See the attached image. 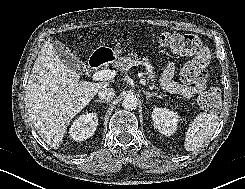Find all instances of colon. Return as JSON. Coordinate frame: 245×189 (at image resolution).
I'll list each match as a JSON object with an SVG mask.
<instances>
[{"label":"colon","mask_w":245,"mask_h":189,"mask_svg":"<svg viewBox=\"0 0 245 189\" xmlns=\"http://www.w3.org/2000/svg\"><path fill=\"white\" fill-rule=\"evenodd\" d=\"M160 43L177 54L192 56V60L187 62L180 71V78L185 84L195 85L206 78L211 56L197 36L165 32L160 36ZM220 101V91L217 88L209 89L198 97V103L205 109L217 108Z\"/></svg>","instance_id":"1"}]
</instances>
